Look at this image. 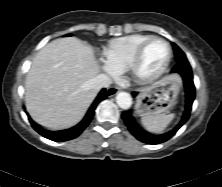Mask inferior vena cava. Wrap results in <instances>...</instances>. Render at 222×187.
Wrapping results in <instances>:
<instances>
[{
	"mask_svg": "<svg viewBox=\"0 0 222 187\" xmlns=\"http://www.w3.org/2000/svg\"><path fill=\"white\" fill-rule=\"evenodd\" d=\"M112 84V80L108 75L99 74L93 78L90 82L91 88L95 91L100 90L101 88H108Z\"/></svg>",
	"mask_w": 222,
	"mask_h": 187,
	"instance_id": "inferior-vena-cava-1",
	"label": "inferior vena cava"
}]
</instances>
